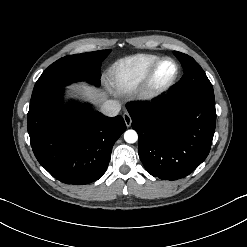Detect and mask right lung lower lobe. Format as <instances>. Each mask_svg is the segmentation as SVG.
I'll list each match as a JSON object with an SVG mask.
<instances>
[{
	"label": "right lung lower lobe",
	"mask_w": 247,
	"mask_h": 247,
	"mask_svg": "<svg viewBox=\"0 0 247 247\" xmlns=\"http://www.w3.org/2000/svg\"><path fill=\"white\" fill-rule=\"evenodd\" d=\"M27 128L41 166L61 182L81 185L105 173L112 147L126 125L121 116L68 108L60 89L29 108Z\"/></svg>",
	"instance_id": "98d812e1"
}]
</instances>
